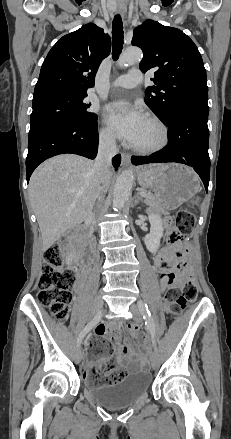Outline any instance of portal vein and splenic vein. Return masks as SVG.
Segmentation results:
<instances>
[{"label":"portal vein and splenic vein","mask_w":231,"mask_h":439,"mask_svg":"<svg viewBox=\"0 0 231 439\" xmlns=\"http://www.w3.org/2000/svg\"><path fill=\"white\" fill-rule=\"evenodd\" d=\"M140 195H141V196H145V195H146V193H145V192H143V191H141V192H140Z\"/></svg>","instance_id":"18ae733b"}]
</instances>
